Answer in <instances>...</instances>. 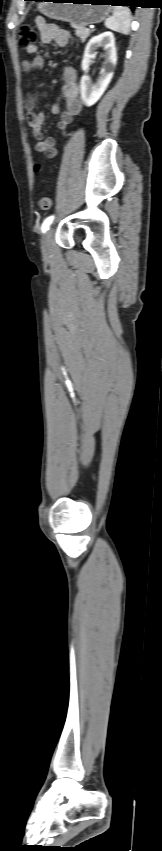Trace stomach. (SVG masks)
Returning <instances> with one entry per match:
<instances>
[{"instance_id":"obj_1","label":"stomach","mask_w":162,"mask_h":851,"mask_svg":"<svg viewBox=\"0 0 162 851\" xmlns=\"http://www.w3.org/2000/svg\"><path fill=\"white\" fill-rule=\"evenodd\" d=\"M45 1L47 0L38 3V9L43 15L51 19L70 22L80 27L100 23L111 11V6L102 5L105 4L106 0Z\"/></svg>"}]
</instances>
